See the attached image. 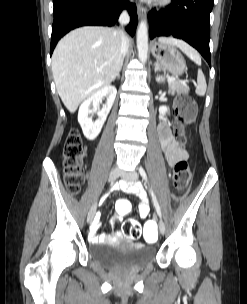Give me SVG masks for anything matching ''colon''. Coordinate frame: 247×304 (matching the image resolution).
I'll list each match as a JSON object with an SVG mask.
<instances>
[{"instance_id": "colon-1", "label": "colon", "mask_w": 247, "mask_h": 304, "mask_svg": "<svg viewBox=\"0 0 247 304\" xmlns=\"http://www.w3.org/2000/svg\"><path fill=\"white\" fill-rule=\"evenodd\" d=\"M197 104L186 94L180 95L175 103L174 127L182 143L187 139V128L196 116ZM84 156L85 147L80 133L73 129L69 132L63 151V173L67 188L72 193H78L84 182ZM191 172L187 162L182 158L174 167L172 182L174 187L182 191L189 184ZM116 209L121 215H129L132 207L129 201L121 199L116 204ZM157 224L149 223L144 233L146 246H155L158 238ZM123 231L128 238L136 239L142 233V226L136 220H128L123 226Z\"/></svg>"}]
</instances>
